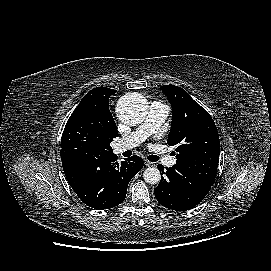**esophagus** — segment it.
<instances>
[{"label": "esophagus", "mask_w": 271, "mask_h": 271, "mask_svg": "<svg viewBox=\"0 0 271 271\" xmlns=\"http://www.w3.org/2000/svg\"><path fill=\"white\" fill-rule=\"evenodd\" d=\"M144 164H145L147 167H152V166H154V163H153V162H150V161H148V160H145V161H144Z\"/></svg>", "instance_id": "34e87169"}]
</instances>
